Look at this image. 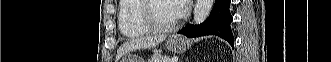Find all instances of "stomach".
Here are the masks:
<instances>
[{
	"mask_svg": "<svg viewBox=\"0 0 331 62\" xmlns=\"http://www.w3.org/2000/svg\"><path fill=\"white\" fill-rule=\"evenodd\" d=\"M166 47L168 50L174 53L184 52L186 49V41L177 35L170 36L166 41ZM120 62H144L141 58H137L135 56H129L123 58Z\"/></svg>",
	"mask_w": 331,
	"mask_h": 62,
	"instance_id": "stomach-1",
	"label": "stomach"
}]
</instances>
